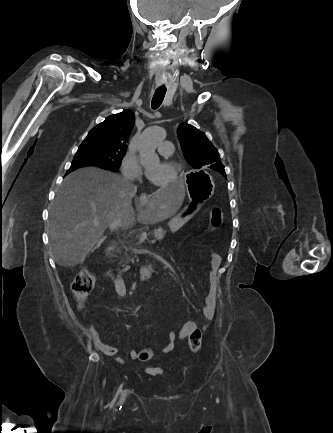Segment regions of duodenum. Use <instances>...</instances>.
I'll return each mask as SVG.
<instances>
[{
  "instance_id": "duodenum-1",
  "label": "duodenum",
  "mask_w": 333,
  "mask_h": 433,
  "mask_svg": "<svg viewBox=\"0 0 333 433\" xmlns=\"http://www.w3.org/2000/svg\"><path fill=\"white\" fill-rule=\"evenodd\" d=\"M159 262H153L147 265H144L139 268L137 276L140 280H147L149 279L152 274L155 272V270L158 268Z\"/></svg>"
}]
</instances>
